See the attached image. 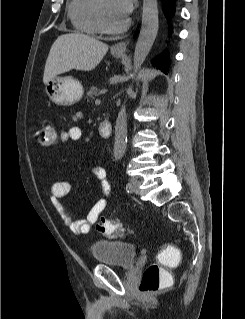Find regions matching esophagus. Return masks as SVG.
Wrapping results in <instances>:
<instances>
[{"label": "esophagus", "instance_id": "34e87169", "mask_svg": "<svg viewBox=\"0 0 245 319\" xmlns=\"http://www.w3.org/2000/svg\"><path fill=\"white\" fill-rule=\"evenodd\" d=\"M127 48L126 42H119L112 46V51L117 54H124Z\"/></svg>", "mask_w": 245, "mask_h": 319}]
</instances>
